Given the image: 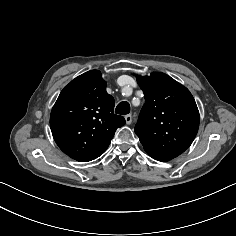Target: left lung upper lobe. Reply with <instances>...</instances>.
<instances>
[{
  "label": "left lung upper lobe",
  "instance_id": "obj_1",
  "mask_svg": "<svg viewBox=\"0 0 236 236\" xmlns=\"http://www.w3.org/2000/svg\"><path fill=\"white\" fill-rule=\"evenodd\" d=\"M145 95L135 133L145 151L180 155L199 128V111L190 91L170 76H138Z\"/></svg>",
  "mask_w": 236,
  "mask_h": 236
}]
</instances>
